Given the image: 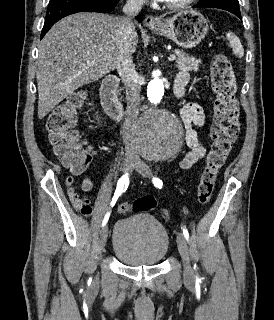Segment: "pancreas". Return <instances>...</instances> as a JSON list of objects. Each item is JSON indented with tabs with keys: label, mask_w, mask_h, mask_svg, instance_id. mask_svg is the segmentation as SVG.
Instances as JSON below:
<instances>
[{
	"label": "pancreas",
	"mask_w": 274,
	"mask_h": 320,
	"mask_svg": "<svg viewBox=\"0 0 274 320\" xmlns=\"http://www.w3.org/2000/svg\"><path fill=\"white\" fill-rule=\"evenodd\" d=\"M176 56H178L175 64V68L177 70H181V72H190V70H197V66L199 64V60H195V58H191L188 54H184L181 50H175Z\"/></svg>",
	"instance_id": "obj_1"
}]
</instances>
